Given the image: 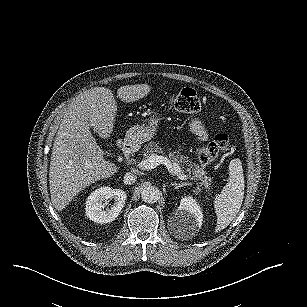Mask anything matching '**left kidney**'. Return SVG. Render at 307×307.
Here are the masks:
<instances>
[{"label": "left kidney", "instance_id": "5707ae66", "mask_svg": "<svg viewBox=\"0 0 307 307\" xmlns=\"http://www.w3.org/2000/svg\"><path fill=\"white\" fill-rule=\"evenodd\" d=\"M173 215L179 219L174 226V232L179 237L191 238L202 226L203 213L199 204L192 196L183 197Z\"/></svg>", "mask_w": 307, "mask_h": 307}]
</instances>
